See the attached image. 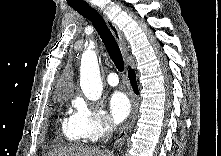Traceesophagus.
<instances>
[{"label": "esophagus", "mask_w": 221, "mask_h": 156, "mask_svg": "<svg viewBox=\"0 0 221 156\" xmlns=\"http://www.w3.org/2000/svg\"><path fill=\"white\" fill-rule=\"evenodd\" d=\"M86 1L90 5V7H92L93 9H95L97 12H99L102 15L104 21L106 22V25L110 29V31L113 34V36L115 37V39L118 41L121 51H122V54H123V57L126 59L127 58V47H126V43L124 41V38L122 36V33L119 31L117 26L108 18V16L102 12V10L100 8H98L94 4H92L90 0H86ZM136 113H137V103H136V100L133 99L131 120L119 133V135L115 141V145L121 143L124 140V138L126 137L127 131L132 126V124L135 120Z\"/></svg>", "instance_id": "esophagus-1"}]
</instances>
